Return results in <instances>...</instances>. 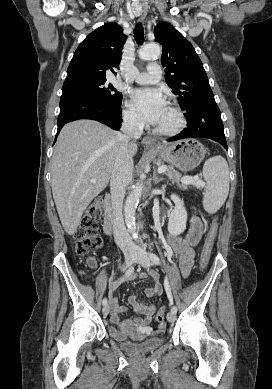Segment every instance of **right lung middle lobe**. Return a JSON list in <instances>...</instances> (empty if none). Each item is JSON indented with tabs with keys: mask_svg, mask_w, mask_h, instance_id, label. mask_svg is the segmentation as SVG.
<instances>
[{
	"mask_svg": "<svg viewBox=\"0 0 272 389\" xmlns=\"http://www.w3.org/2000/svg\"><path fill=\"white\" fill-rule=\"evenodd\" d=\"M105 83L106 79L64 84L62 87V96L83 95L98 99L109 105H120L122 102V93L113 88L111 84L107 85Z\"/></svg>",
	"mask_w": 272,
	"mask_h": 389,
	"instance_id": "dd1d6c3e",
	"label": "right lung middle lobe"
}]
</instances>
